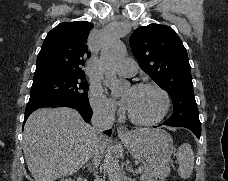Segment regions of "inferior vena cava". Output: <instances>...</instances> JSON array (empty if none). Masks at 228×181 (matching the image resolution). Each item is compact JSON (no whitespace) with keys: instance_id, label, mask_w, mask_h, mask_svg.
<instances>
[{"instance_id":"obj_1","label":"inferior vena cava","mask_w":228,"mask_h":181,"mask_svg":"<svg viewBox=\"0 0 228 181\" xmlns=\"http://www.w3.org/2000/svg\"><path fill=\"white\" fill-rule=\"evenodd\" d=\"M92 109V131L94 135L99 137V139H104L103 131L112 129L115 121V115L112 113V111H108L104 105H93ZM91 157L95 167H99L104 157V147H102L101 141H98V145H95L93 151H91Z\"/></svg>"}]
</instances>
